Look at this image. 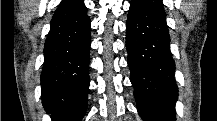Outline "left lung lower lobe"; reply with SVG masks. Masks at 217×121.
<instances>
[{"mask_svg":"<svg viewBox=\"0 0 217 121\" xmlns=\"http://www.w3.org/2000/svg\"><path fill=\"white\" fill-rule=\"evenodd\" d=\"M162 0H132L126 25L130 80L144 121H174L178 87Z\"/></svg>","mask_w":217,"mask_h":121,"instance_id":"left-lung-lower-lobe-1","label":"left lung lower lobe"}]
</instances>
